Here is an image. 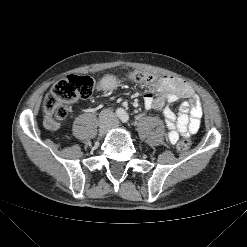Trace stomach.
I'll return each mask as SVG.
<instances>
[{"label":"stomach","mask_w":247,"mask_h":247,"mask_svg":"<svg viewBox=\"0 0 247 247\" xmlns=\"http://www.w3.org/2000/svg\"><path fill=\"white\" fill-rule=\"evenodd\" d=\"M116 83V77L113 75H106L101 81L102 86H104L105 88H113Z\"/></svg>","instance_id":"1"}]
</instances>
